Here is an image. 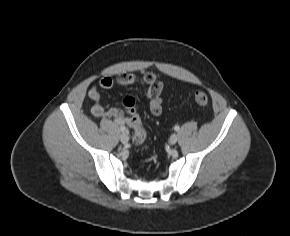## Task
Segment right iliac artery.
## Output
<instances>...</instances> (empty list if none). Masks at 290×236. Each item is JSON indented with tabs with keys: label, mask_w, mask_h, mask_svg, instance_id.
<instances>
[{
	"label": "right iliac artery",
	"mask_w": 290,
	"mask_h": 236,
	"mask_svg": "<svg viewBox=\"0 0 290 236\" xmlns=\"http://www.w3.org/2000/svg\"><path fill=\"white\" fill-rule=\"evenodd\" d=\"M120 125H121V124H120ZM120 129H121V131L126 130V129H125V126H123V125L120 126Z\"/></svg>",
	"instance_id": "obj_1"
}]
</instances>
